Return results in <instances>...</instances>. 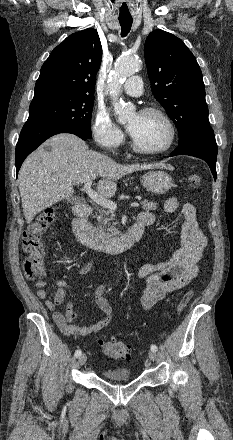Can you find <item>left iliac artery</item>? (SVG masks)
Listing matches in <instances>:
<instances>
[{
  "label": "left iliac artery",
  "mask_w": 233,
  "mask_h": 440,
  "mask_svg": "<svg viewBox=\"0 0 233 440\" xmlns=\"http://www.w3.org/2000/svg\"><path fill=\"white\" fill-rule=\"evenodd\" d=\"M150 348H151V350H153V351H155V352L157 351V346L154 345V344H152Z\"/></svg>",
  "instance_id": "44dca946"
}]
</instances>
